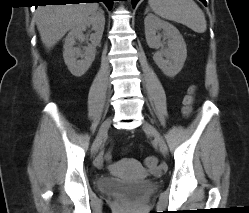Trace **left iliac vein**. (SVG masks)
<instances>
[{"label":"left iliac vein","instance_id":"left-iliac-vein-1","mask_svg":"<svg viewBox=\"0 0 249 213\" xmlns=\"http://www.w3.org/2000/svg\"><path fill=\"white\" fill-rule=\"evenodd\" d=\"M142 128L146 133H149L154 137V140L158 144L161 153L164 156L167 155L168 152L167 144L162 135L159 133V131L148 122H144Z\"/></svg>","mask_w":249,"mask_h":213}]
</instances>
